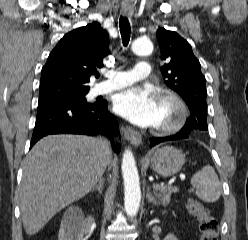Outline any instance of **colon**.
I'll return each mask as SVG.
<instances>
[{"label":"colon","instance_id":"5ec220e1","mask_svg":"<svg viewBox=\"0 0 248 240\" xmlns=\"http://www.w3.org/2000/svg\"><path fill=\"white\" fill-rule=\"evenodd\" d=\"M186 207L199 222L200 240H218L219 223L210 212L194 199H189Z\"/></svg>","mask_w":248,"mask_h":240}]
</instances>
